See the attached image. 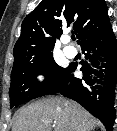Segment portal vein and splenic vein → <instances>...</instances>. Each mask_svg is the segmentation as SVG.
<instances>
[{
    "mask_svg": "<svg viewBox=\"0 0 117 131\" xmlns=\"http://www.w3.org/2000/svg\"><path fill=\"white\" fill-rule=\"evenodd\" d=\"M49 122H51V121H46V123H49ZM52 123V122H51Z\"/></svg>",
    "mask_w": 117,
    "mask_h": 131,
    "instance_id": "portal-vein-and-splenic-vein-1",
    "label": "portal vein and splenic vein"
}]
</instances>
